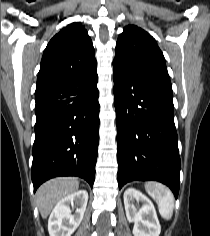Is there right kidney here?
Wrapping results in <instances>:
<instances>
[{"instance_id":"ca27d5eb","label":"right kidney","mask_w":210,"mask_h":236,"mask_svg":"<svg viewBox=\"0 0 210 236\" xmlns=\"http://www.w3.org/2000/svg\"><path fill=\"white\" fill-rule=\"evenodd\" d=\"M88 201L86 190H79L61 199L53 209L48 220L50 236H71L80 225ZM70 205L77 206L72 214Z\"/></svg>"}]
</instances>
